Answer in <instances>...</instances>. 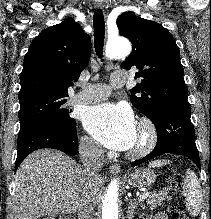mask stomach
<instances>
[{"instance_id": "1", "label": "stomach", "mask_w": 211, "mask_h": 219, "mask_svg": "<svg viewBox=\"0 0 211 219\" xmlns=\"http://www.w3.org/2000/svg\"><path fill=\"white\" fill-rule=\"evenodd\" d=\"M156 174L153 170L147 168H139L134 170L128 175V184L137 187L143 188L152 185L155 182Z\"/></svg>"}]
</instances>
